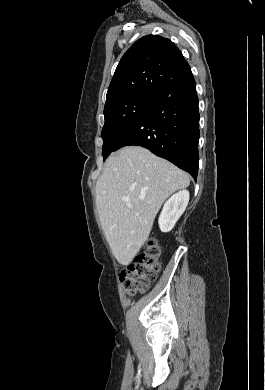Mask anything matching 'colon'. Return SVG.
Listing matches in <instances>:
<instances>
[{
	"instance_id": "colon-1",
	"label": "colon",
	"mask_w": 265,
	"mask_h": 390,
	"mask_svg": "<svg viewBox=\"0 0 265 390\" xmlns=\"http://www.w3.org/2000/svg\"><path fill=\"white\" fill-rule=\"evenodd\" d=\"M161 248L151 239L145 244L133 263L120 276L125 292L129 295L144 292L155 281L160 267Z\"/></svg>"
}]
</instances>
